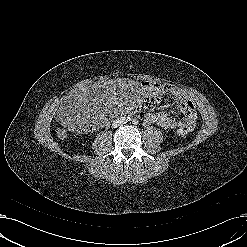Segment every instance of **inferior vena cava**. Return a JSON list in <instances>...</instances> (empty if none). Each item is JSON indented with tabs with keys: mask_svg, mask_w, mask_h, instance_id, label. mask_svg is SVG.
I'll list each match as a JSON object with an SVG mask.
<instances>
[{
	"mask_svg": "<svg viewBox=\"0 0 247 247\" xmlns=\"http://www.w3.org/2000/svg\"><path fill=\"white\" fill-rule=\"evenodd\" d=\"M126 122L127 120L124 117H121L113 121V126L118 127V126L124 125Z\"/></svg>",
	"mask_w": 247,
	"mask_h": 247,
	"instance_id": "inferior-vena-cava-1",
	"label": "inferior vena cava"
}]
</instances>
